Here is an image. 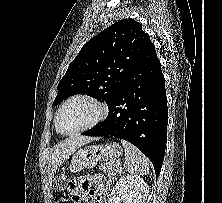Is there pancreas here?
Returning a JSON list of instances; mask_svg holds the SVG:
<instances>
[{
    "mask_svg": "<svg viewBox=\"0 0 222 203\" xmlns=\"http://www.w3.org/2000/svg\"><path fill=\"white\" fill-rule=\"evenodd\" d=\"M119 168V163L115 160H110L100 167V170H103L108 178L114 179L116 177L117 171Z\"/></svg>",
    "mask_w": 222,
    "mask_h": 203,
    "instance_id": "obj_1",
    "label": "pancreas"
}]
</instances>
